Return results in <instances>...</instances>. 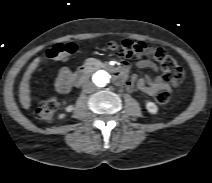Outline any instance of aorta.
I'll return each instance as SVG.
<instances>
[{"label": "aorta", "mask_w": 212, "mask_h": 183, "mask_svg": "<svg viewBox=\"0 0 212 183\" xmlns=\"http://www.w3.org/2000/svg\"><path fill=\"white\" fill-rule=\"evenodd\" d=\"M96 89L105 88L110 82V74L106 70H96L90 76V81Z\"/></svg>", "instance_id": "1"}]
</instances>
